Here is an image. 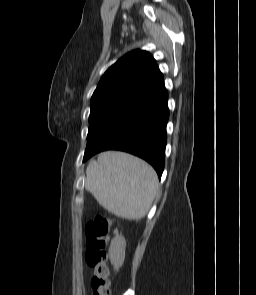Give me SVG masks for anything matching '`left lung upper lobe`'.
<instances>
[{
  "mask_svg": "<svg viewBox=\"0 0 256 295\" xmlns=\"http://www.w3.org/2000/svg\"><path fill=\"white\" fill-rule=\"evenodd\" d=\"M164 89L163 75L148 52L135 50L119 59L104 73L91 98L87 147Z\"/></svg>",
  "mask_w": 256,
  "mask_h": 295,
  "instance_id": "obj_1",
  "label": "left lung upper lobe"
}]
</instances>
